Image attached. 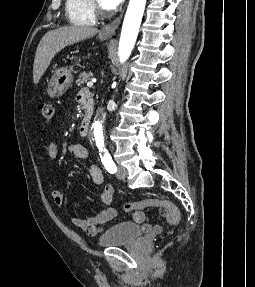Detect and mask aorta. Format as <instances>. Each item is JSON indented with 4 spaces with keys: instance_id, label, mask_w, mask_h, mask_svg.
<instances>
[{
    "instance_id": "aorta-1",
    "label": "aorta",
    "mask_w": 255,
    "mask_h": 287,
    "mask_svg": "<svg viewBox=\"0 0 255 287\" xmlns=\"http://www.w3.org/2000/svg\"><path fill=\"white\" fill-rule=\"evenodd\" d=\"M145 4L146 0H130L129 2L119 41L118 55L120 62H125L134 48ZM98 114V117L92 124V129L96 145L101 147L104 145L103 121L105 112L100 110Z\"/></svg>"
}]
</instances>
